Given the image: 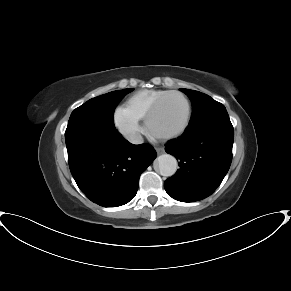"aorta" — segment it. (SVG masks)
Masks as SVG:
<instances>
[{
	"label": "aorta",
	"instance_id": "762f6f07",
	"mask_svg": "<svg viewBox=\"0 0 291 291\" xmlns=\"http://www.w3.org/2000/svg\"><path fill=\"white\" fill-rule=\"evenodd\" d=\"M160 174L164 177L173 176L178 168L177 160L170 154H162L157 158Z\"/></svg>",
	"mask_w": 291,
	"mask_h": 291
}]
</instances>
